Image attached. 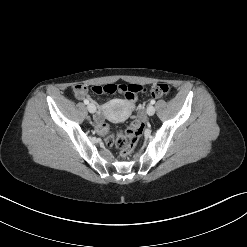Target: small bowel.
I'll return each instance as SVG.
<instances>
[{"mask_svg":"<svg viewBox=\"0 0 247 247\" xmlns=\"http://www.w3.org/2000/svg\"><path fill=\"white\" fill-rule=\"evenodd\" d=\"M74 93H75L76 98L81 99V98H83V97L88 96V89H87L86 91H84L83 93H76V92H75V89H74ZM128 106H129V108H130L131 110L137 109L136 103L131 104L130 102H128ZM103 111H104L103 108L100 109V112L98 113V115H97V117H96V123H97L99 129H100L101 126L103 125Z\"/></svg>","mask_w":247,"mask_h":247,"instance_id":"obj_1","label":"small bowel"}]
</instances>
